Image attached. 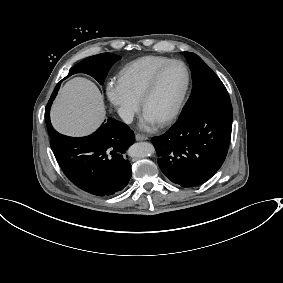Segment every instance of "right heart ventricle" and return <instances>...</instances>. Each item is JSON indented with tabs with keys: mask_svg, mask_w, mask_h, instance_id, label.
Segmentation results:
<instances>
[{
	"mask_svg": "<svg viewBox=\"0 0 283 283\" xmlns=\"http://www.w3.org/2000/svg\"><path fill=\"white\" fill-rule=\"evenodd\" d=\"M172 59L161 55H150L137 59L119 72V81L127 94L139 101L140 95L150 75L163 64Z\"/></svg>",
	"mask_w": 283,
	"mask_h": 283,
	"instance_id": "right-heart-ventricle-1",
	"label": "right heart ventricle"
}]
</instances>
